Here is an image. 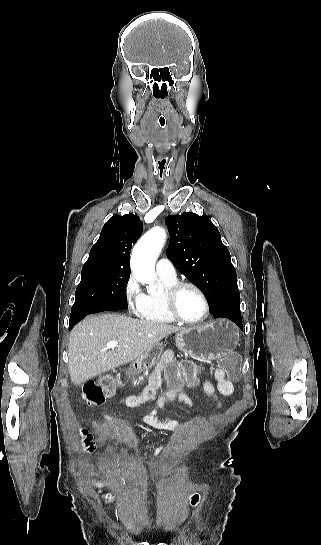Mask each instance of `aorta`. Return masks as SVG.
<instances>
[{
    "mask_svg": "<svg viewBox=\"0 0 321 545\" xmlns=\"http://www.w3.org/2000/svg\"><path fill=\"white\" fill-rule=\"evenodd\" d=\"M166 239V232L162 228H154L147 232L135 245L131 255V269L142 283L150 285L153 290L155 263Z\"/></svg>",
    "mask_w": 321,
    "mask_h": 545,
    "instance_id": "obj_1",
    "label": "aorta"
}]
</instances>
